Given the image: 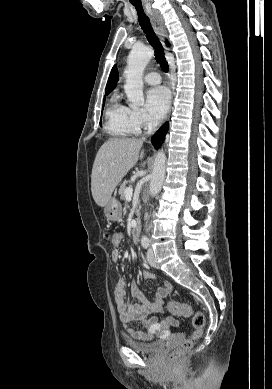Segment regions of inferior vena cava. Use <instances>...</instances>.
Masks as SVG:
<instances>
[{"mask_svg": "<svg viewBox=\"0 0 272 389\" xmlns=\"http://www.w3.org/2000/svg\"><path fill=\"white\" fill-rule=\"evenodd\" d=\"M157 126H158V122L157 121H151L147 134L151 135L153 133V131L156 129Z\"/></svg>", "mask_w": 272, "mask_h": 389, "instance_id": "inferior-vena-cava-1", "label": "inferior vena cava"}]
</instances>
